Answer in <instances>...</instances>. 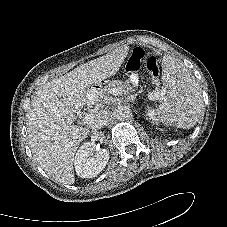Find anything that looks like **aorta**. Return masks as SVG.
<instances>
[{
    "label": "aorta",
    "instance_id": "aorta-1",
    "mask_svg": "<svg viewBox=\"0 0 227 227\" xmlns=\"http://www.w3.org/2000/svg\"><path fill=\"white\" fill-rule=\"evenodd\" d=\"M113 114L118 120H127L131 115V110L127 106L119 105L114 109Z\"/></svg>",
    "mask_w": 227,
    "mask_h": 227
}]
</instances>
